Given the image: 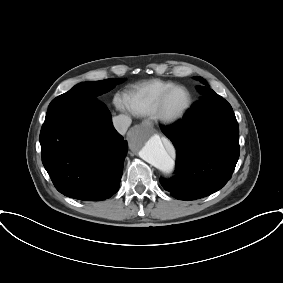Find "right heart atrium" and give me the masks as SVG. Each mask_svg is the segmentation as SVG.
Instances as JSON below:
<instances>
[{
  "label": "right heart atrium",
  "instance_id": "d8ad5b80",
  "mask_svg": "<svg viewBox=\"0 0 283 283\" xmlns=\"http://www.w3.org/2000/svg\"><path fill=\"white\" fill-rule=\"evenodd\" d=\"M117 104H118V106H121V104L119 102Z\"/></svg>",
  "mask_w": 283,
  "mask_h": 283
}]
</instances>
